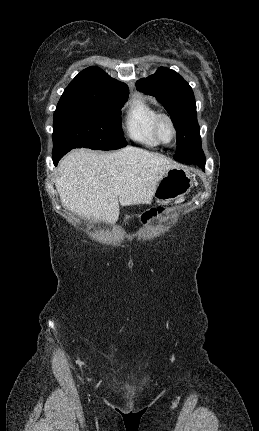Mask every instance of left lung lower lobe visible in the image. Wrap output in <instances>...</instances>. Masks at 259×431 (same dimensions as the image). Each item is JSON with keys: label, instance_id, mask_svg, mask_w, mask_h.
<instances>
[{"label": "left lung lower lobe", "instance_id": "0a47b994", "mask_svg": "<svg viewBox=\"0 0 259 431\" xmlns=\"http://www.w3.org/2000/svg\"><path fill=\"white\" fill-rule=\"evenodd\" d=\"M205 162H206V160L204 159V160L198 162L196 165H198L200 168H202L204 170V168H205Z\"/></svg>", "mask_w": 259, "mask_h": 431}]
</instances>
